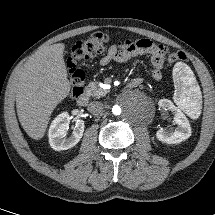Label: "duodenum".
Here are the masks:
<instances>
[{
  "instance_id": "obj_1",
  "label": "duodenum",
  "mask_w": 215,
  "mask_h": 215,
  "mask_svg": "<svg viewBox=\"0 0 215 215\" xmlns=\"http://www.w3.org/2000/svg\"><path fill=\"white\" fill-rule=\"evenodd\" d=\"M139 80H132L130 83H129V85H128V87L129 88H134V87H137L138 85H139ZM88 102H89V96H88V94L86 93V92H83V93H81L80 95H79V97L77 98V104L79 105V106H86L87 104H88Z\"/></svg>"
}]
</instances>
